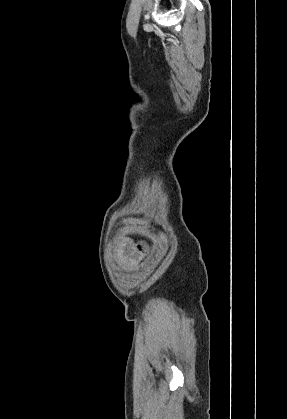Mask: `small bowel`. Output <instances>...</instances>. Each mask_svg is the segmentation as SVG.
<instances>
[{"mask_svg":"<svg viewBox=\"0 0 287 419\" xmlns=\"http://www.w3.org/2000/svg\"><path fill=\"white\" fill-rule=\"evenodd\" d=\"M116 256L122 267L126 270L131 271L138 265L139 258L127 242H121L118 245Z\"/></svg>","mask_w":287,"mask_h":419,"instance_id":"obj_1","label":"small bowel"}]
</instances>
